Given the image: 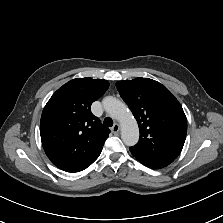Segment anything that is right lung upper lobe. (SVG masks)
Here are the masks:
<instances>
[{
  "instance_id": "cb5924a9",
  "label": "right lung upper lobe",
  "mask_w": 223,
  "mask_h": 223,
  "mask_svg": "<svg viewBox=\"0 0 223 223\" xmlns=\"http://www.w3.org/2000/svg\"><path fill=\"white\" fill-rule=\"evenodd\" d=\"M106 80L77 78L59 88L45 105L40 135L43 148L58 168L78 172L100 155L109 129L91 111L108 89Z\"/></svg>"
}]
</instances>
